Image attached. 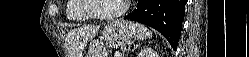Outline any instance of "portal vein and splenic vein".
I'll use <instances>...</instances> for the list:
<instances>
[{
  "label": "portal vein and splenic vein",
  "mask_w": 249,
  "mask_h": 57,
  "mask_svg": "<svg viewBox=\"0 0 249 57\" xmlns=\"http://www.w3.org/2000/svg\"><path fill=\"white\" fill-rule=\"evenodd\" d=\"M116 57H122V55H120V54H117V55H116Z\"/></svg>",
  "instance_id": "18ae733b"
}]
</instances>
